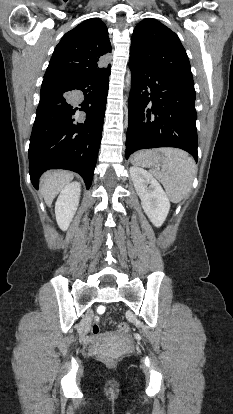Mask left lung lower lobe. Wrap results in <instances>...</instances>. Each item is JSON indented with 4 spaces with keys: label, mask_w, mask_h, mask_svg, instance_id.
Instances as JSON below:
<instances>
[{
    "label": "left lung lower lobe",
    "mask_w": 233,
    "mask_h": 414,
    "mask_svg": "<svg viewBox=\"0 0 233 414\" xmlns=\"http://www.w3.org/2000/svg\"><path fill=\"white\" fill-rule=\"evenodd\" d=\"M129 66L132 86L125 157L140 149L176 147L197 161L193 79L161 75L132 60Z\"/></svg>",
    "instance_id": "1"
}]
</instances>
